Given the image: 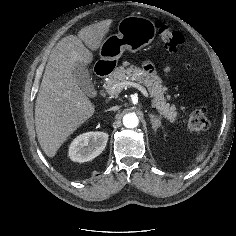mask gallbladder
<instances>
[{"mask_svg": "<svg viewBox=\"0 0 236 236\" xmlns=\"http://www.w3.org/2000/svg\"><path fill=\"white\" fill-rule=\"evenodd\" d=\"M73 76L76 78L80 88L88 96L94 95V87L91 79V72L87 65L78 64L74 71Z\"/></svg>", "mask_w": 236, "mask_h": 236, "instance_id": "gallbladder-1", "label": "gallbladder"}]
</instances>
